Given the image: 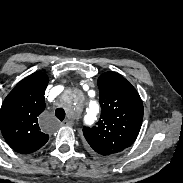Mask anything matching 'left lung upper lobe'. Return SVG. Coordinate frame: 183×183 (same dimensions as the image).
I'll list each match as a JSON object with an SVG mask.
<instances>
[{"label": "left lung upper lobe", "mask_w": 183, "mask_h": 183, "mask_svg": "<svg viewBox=\"0 0 183 183\" xmlns=\"http://www.w3.org/2000/svg\"><path fill=\"white\" fill-rule=\"evenodd\" d=\"M101 115L83 134L91 148L104 156L130 147L143 120V104L136 89L120 74L103 73L98 78Z\"/></svg>", "instance_id": "1"}]
</instances>
